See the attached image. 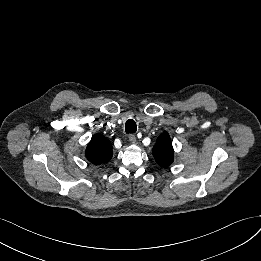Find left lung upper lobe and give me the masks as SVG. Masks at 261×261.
<instances>
[{
	"label": "left lung upper lobe",
	"mask_w": 261,
	"mask_h": 261,
	"mask_svg": "<svg viewBox=\"0 0 261 261\" xmlns=\"http://www.w3.org/2000/svg\"><path fill=\"white\" fill-rule=\"evenodd\" d=\"M156 162L162 167H168L174 161V150L170 136L167 132L162 133L152 149Z\"/></svg>",
	"instance_id": "left-lung-upper-lobe-1"
}]
</instances>
